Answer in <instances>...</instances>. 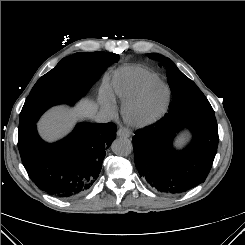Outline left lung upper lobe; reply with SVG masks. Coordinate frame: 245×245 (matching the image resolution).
Wrapping results in <instances>:
<instances>
[{"label":"left lung upper lobe","instance_id":"obj_1","mask_svg":"<svg viewBox=\"0 0 245 245\" xmlns=\"http://www.w3.org/2000/svg\"><path fill=\"white\" fill-rule=\"evenodd\" d=\"M149 57L156 59L159 66L166 70L172 92V104L168 113L184 108L214 111L196 84L186 77L169 58L155 53L150 54Z\"/></svg>","mask_w":245,"mask_h":245}]
</instances>
